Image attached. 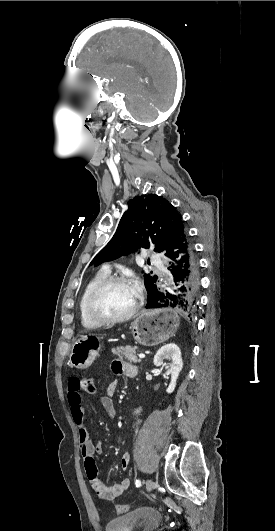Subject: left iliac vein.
I'll return each instance as SVG.
<instances>
[{
  "mask_svg": "<svg viewBox=\"0 0 275 531\" xmlns=\"http://www.w3.org/2000/svg\"><path fill=\"white\" fill-rule=\"evenodd\" d=\"M156 483L150 479L147 480L146 482V489L148 492H151L155 487H156Z\"/></svg>",
  "mask_w": 275,
  "mask_h": 531,
  "instance_id": "left-iliac-vein-1",
  "label": "left iliac vein"
}]
</instances>
